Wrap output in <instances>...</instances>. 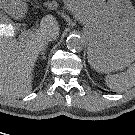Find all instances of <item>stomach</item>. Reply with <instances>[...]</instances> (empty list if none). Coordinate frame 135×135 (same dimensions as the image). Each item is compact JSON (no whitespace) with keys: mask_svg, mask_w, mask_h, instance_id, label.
<instances>
[{"mask_svg":"<svg viewBox=\"0 0 135 135\" xmlns=\"http://www.w3.org/2000/svg\"><path fill=\"white\" fill-rule=\"evenodd\" d=\"M27 0H3L14 15ZM84 25L88 61L98 72L123 70L135 60V9L130 0H56Z\"/></svg>","mask_w":135,"mask_h":135,"instance_id":"obj_1","label":"stomach"}]
</instances>
